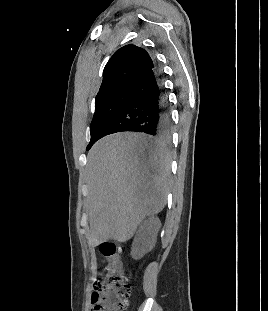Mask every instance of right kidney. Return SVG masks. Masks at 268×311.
Listing matches in <instances>:
<instances>
[{
    "mask_svg": "<svg viewBox=\"0 0 268 311\" xmlns=\"http://www.w3.org/2000/svg\"><path fill=\"white\" fill-rule=\"evenodd\" d=\"M160 227V220L154 217L140 226L132 244L131 256L134 259L142 258L154 247Z\"/></svg>",
    "mask_w": 268,
    "mask_h": 311,
    "instance_id": "right-kidney-1",
    "label": "right kidney"
}]
</instances>
